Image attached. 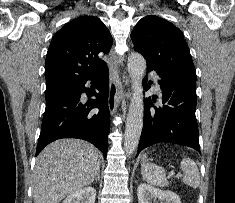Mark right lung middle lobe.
<instances>
[{
	"mask_svg": "<svg viewBox=\"0 0 235 203\" xmlns=\"http://www.w3.org/2000/svg\"><path fill=\"white\" fill-rule=\"evenodd\" d=\"M69 85L71 84H59V85L46 86V98L66 89Z\"/></svg>",
	"mask_w": 235,
	"mask_h": 203,
	"instance_id": "dd1d6c3e",
	"label": "right lung middle lobe"
}]
</instances>
